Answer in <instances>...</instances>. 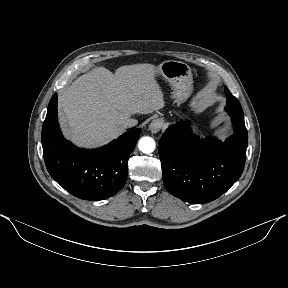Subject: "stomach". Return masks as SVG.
Instances as JSON below:
<instances>
[{"instance_id":"stomach-1","label":"stomach","mask_w":288,"mask_h":288,"mask_svg":"<svg viewBox=\"0 0 288 288\" xmlns=\"http://www.w3.org/2000/svg\"><path fill=\"white\" fill-rule=\"evenodd\" d=\"M166 79L174 90L175 102L184 103L193 91L190 67L181 61L168 60L156 68V73Z\"/></svg>"}]
</instances>
